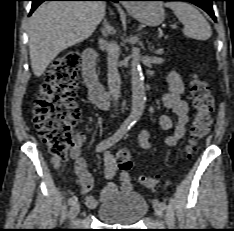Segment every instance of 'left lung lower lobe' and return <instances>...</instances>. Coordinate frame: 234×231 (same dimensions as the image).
I'll use <instances>...</instances> for the list:
<instances>
[{
	"label": "left lung lower lobe",
	"instance_id": "obj_1",
	"mask_svg": "<svg viewBox=\"0 0 234 231\" xmlns=\"http://www.w3.org/2000/svg\"><path fill=\"white\" fill-rule=\"evenodd\" d=\"M142 1H148V0H142ZM159 1H188L191 2L200 8H202L204 11H206L216 22V17L214 15L213 9H212V2L216 0H159Z\"/></svg>",
	"mask_w": 234,
	"mask_h": 231
}]
</instances>
